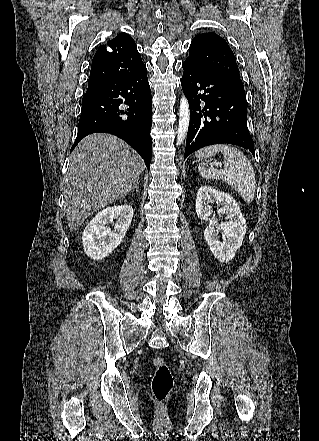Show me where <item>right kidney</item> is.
Listing matches in <instances>:
<instances>
[{
	"label": "right kidney",
	"mask_w": 319,
	"mask_h": 441,
	"mask_svg": "<svg viewBox=\"0 0 319 441\" xmlns=\"http://www.w3.org/2000/svg\"><path fill=\"white\" fill-rule=\"evenodd\" d=\"M133 217V208L114 205L99 212L83 232V248L88 257L100 260L107 257L123 240ZM114 229L108 226L113 223Z\"/></svg>",
	"instance_id": "1"
}]
</instances>
